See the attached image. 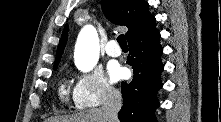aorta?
I'll return each instance as SVG.
<instances>
[{"label":"aorta","instance_id":"obj_1","mask_svg":"<svg viewBox=\"0 0 221 122\" xmlns=\"http://www.w3.org/2000/svg\"><path fill=\"white\" fill-rule=\"evenodd\" d=\"M99 59V38L96 29L87 25L81 30L74 53L76 67L82 72L91 71Z\"/></svg>","mask_w":221,"mask_h":122}]
</instances>
